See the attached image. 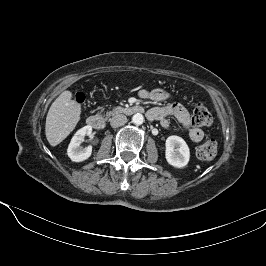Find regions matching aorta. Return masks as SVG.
Masks as SVG:
<instances>
[{"label": "aorta", "mask_w": 266, "mask_h": 266, "mask_svg": "<svg viewBox=\"0 0 266 266\" xmlns=\"http://www.w3.org/2000/svg\"><path fill=\"white\" fill-rule=\"evenodd\" d=\"M132 122L135 125H141V124H143V122H144L143 115L141 113L134 114L133 117H132Z\"/></svg>", "instance_id": "1"}]
</instances>
